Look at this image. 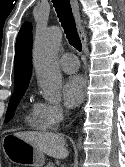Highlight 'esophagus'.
<instances>
[{"mask_svg":"<svg viewBox=\"0 0 125 167\" xmlns=\"http://www.w3.org/2000/svg\"><path fill=\"white\" fill-rule=\"evenodd\" d=\"M70 4H71L72 12L74 15V19L76 22V28H77L80 40L82 42L83 50L85 53H87V50H88L87 49V37L82 27V21H81V16L79 12V3L77 0H70Z\"/></svg>","mask_w":125,"mask_h":167,"instance_id":"34e87169","label":"esophagus"}]
</instances>
